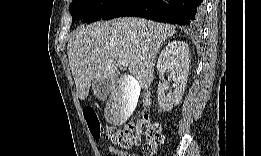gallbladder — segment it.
<instances>
[{"mask_svg":"<svg viewBox=\"0 0 261 156\" xmlns=\"http://www.w3.org/2000/svg\"><path fill=\"white\" fill-rule=\"evenodd\" d=\"M119 83L113 89L111 95L105 105L106 119L111 124L121 125L130 117L137 107V102L140 96V83L131 75H121V78L116 80Z\"/></svg>","mask_w":261,"mask_h":156,"instance_id":"obj_1","label":"gallbladder"}]
</instances>
